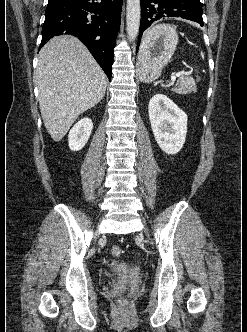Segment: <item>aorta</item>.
Returning <instances> with one entry per match:
<instances>
[{
	"instance_id": "obj_1",
	"label": "aorta",
	"mask_w": 247,
	"mask_h": 332,
	"mask_svg": "<svg viewBox=\"0 0 247 332\" xmlns=\"http://www.w3.org/2000/svg\"><path fill=\"white\" fill-rule=\"evenodd\" d=\"M127 34L129 41H134L140 26V0H127Z\"/></svg>"
}]
</instances>
